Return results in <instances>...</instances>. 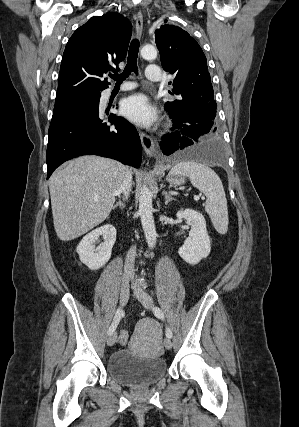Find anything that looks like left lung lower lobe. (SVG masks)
<instances>
[{
  "label": "left lung lower lobe",
  "mask_w": 299,
  "mask_h": 427,
  "mask_svg": "<svg viewBox=\"0 0 299 427\" xmlns=\"http://www.w3.org/2000/svg\"><path fill=\"white\" fill-rule=\"evenodd\" d=\"M211 110L201 103L179 104L172 111L166 110L174 125L171 128L173 133L162 137L160 147L163 154L175 153L181 158L224 163L221 132Z\"/></svg>",
  "instance_id": "obj_1"
}]
</instances>
